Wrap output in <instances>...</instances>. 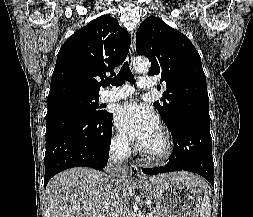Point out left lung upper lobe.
<instances>
[{"label": "left lung upper lobe", "instance_id": "1", "mask_svg": "<svg viewBox=\"0 0 253 217\" xmlns=\"http://www.w3.org/2000/svg\"><path fill=\"white\" fill-rule=\"evenodd\" d=\"M136 51L150 59L149 75L161 76L160 84L167 88L153 105L168 128L181 117L210 120L201 59L184 34L151 16L136 33Z\"/></svg>", "mask_w": 253, "mask_h": 217}]
</instances>
